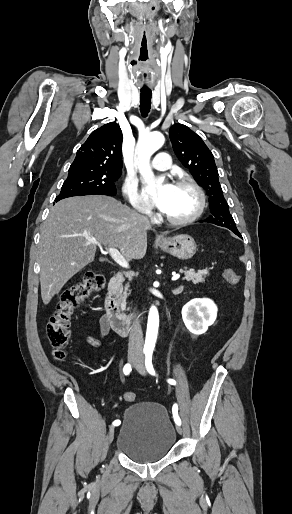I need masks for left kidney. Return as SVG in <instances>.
<instances>
[{
	"instance_id": "5707ae66",
	"label": "left kidney",
	"mask_w": 292,
	"mask_h": 514,
	"mask_svg": "<svg viewBox=\"0 0 292 514\" xmlns=\"http://www.w3.org/2000/svg\"><path fill=\"white\" fill-rule=\"evenodd\" d=\"M217 312L218 308L212 300L195 298L183 306L181 314L187 330L195 336H201L214 324Z\"/></svg>"
}]
</instances>
